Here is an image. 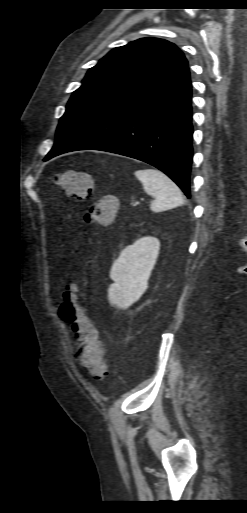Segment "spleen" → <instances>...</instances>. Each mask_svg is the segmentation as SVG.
Here are the masks:
<instances>
[{"label": "spleen", "mask_w": 247, "mask_h": 513, "mask_svg": "<svg viewBox=\"0 0 247 513\" xmlns=\"http://www.w3.org/2000/svg\"><path fill=\"white\" fill-rule=\"evenodd\" d=\"M135 177L142 183L144 191L152 196L150 209L162 212L184 204L185 200L178 186L163 172L145 168L135 171Z\"/></svg>", "instance_id": "1"}]
</instances>
